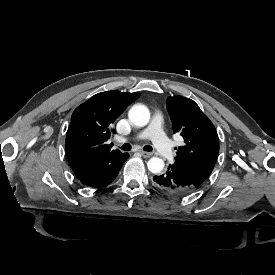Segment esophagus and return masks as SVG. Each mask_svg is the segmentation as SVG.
<instances>
[{
	"label": "esophagus",
	"instance_id": "1",
	"mask_svg": "<svg viewBox=\"0 0 275 275\" xmlns=\"http://www.w3.org/2000/svg\"><path fill=\"white\" fill-rule=\"evenodd\" d=\"M140 154L143 156V158H149L151 156V154L149 152L146 151H140Z\"/></svg>",
	"mask_w": 275,
	"mask_h": 275
}]
</instances>
